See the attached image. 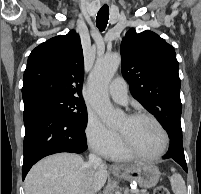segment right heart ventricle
<instances>
[{
    "instance_id": "obj_1",
    "label": "right heart ventricle",
    "mask_w": 201,
    "mask_h": 194,
    "mask_svg": "<svg viewBox=\"0 0 201 194\" xmlns=\"http://www.w3.org/2000/svg\"><path fill=\"white\" fill-rule=\"evenodd\" d=\"M107 157L118 161H125L131 158V156L125 152L121 143H119V145L110 154H108Z\"/></svg>"
}]
</instances>
